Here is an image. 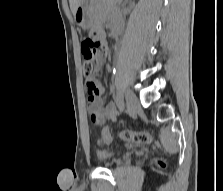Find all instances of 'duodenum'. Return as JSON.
I'll return each mask as SVG.
<instances>
[{"mask_svg": "<svg viewBox=\"0 0 223 191\" xmlns=\"http://www.w3.org/2000/svg\"><path fill=\"white\" fill-rule=\"evenodd\" d=\"M115 33H116V34H119L120 32H119V31H115Z\"/></svg>", "mask_w": 223, "mask_h": 191, "instance_id": "410a0bca", "label": "duodenum"}]
</instances>
